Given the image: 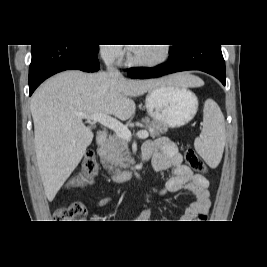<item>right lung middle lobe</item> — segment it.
I'll list each match as a JSON object with an SVG mask.
<instances>
[{
	"label": "right lung middle lobe",
	"mask_w": 267,
	"mask_h": 267,
	"mask_svg": "<svg viewBox=\"0 0 267 267\" xmlns=\"http://www.w3.org/2000/svg\"><path fill=\"white\" fill-rule=\"evenodd\" d=\"M89 48H91L92 50L98 52L99 51V46L98 45H87Z\"/></svg>",
	"instance_id": "right-lung-middle-lobe-1"
}]
</instances>
